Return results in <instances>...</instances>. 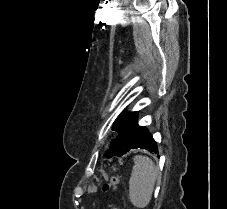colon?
<instances>
[{"label":"colon","instance_id":"obj_1","mask_svg":"<svg viewBox=\"0 0 227 209\" xmlns=\"http://www.w3.org/2000/svg\"><path fill=\"white\" fill-rule=\"evenodd\" d=\"M119 186V178L111 177L103 186L104 190H111L112 192L117 191ZM108 209H117V206L114 203L108 205Z\"/></svg>","mask_w":227,"mask_h":209}]
</instances>
